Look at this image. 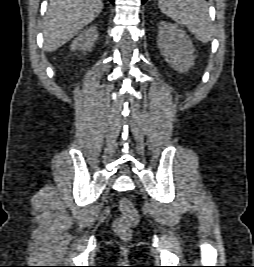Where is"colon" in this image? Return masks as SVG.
<instances>
[{
	"mask_svg": "<svg viewBox=\"0 0 254 267\" xmlns=\"http://www.w3.org/2000/svg\"><path fill=\"white\" fill-rule=\"evenodd\" d=\"M122 216L114 221L113 229L122 240H129L132 236V227L138 222V212L128 198H122L119 202Z\"/></svg>",
	"mask_w": 254,
	"mask_h": 267,
	"instance_id": "obj_1",
	"label": "colon"
}]
</instances>
